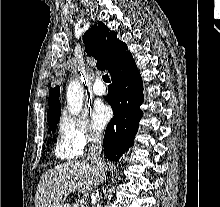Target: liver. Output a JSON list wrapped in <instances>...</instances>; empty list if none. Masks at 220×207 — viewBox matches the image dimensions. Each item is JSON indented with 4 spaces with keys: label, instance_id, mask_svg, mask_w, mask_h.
I'll return each instance as SVG.
<instances>
[{
    "label": "liver",
    "instance_id": "obj_1",
    "mask_svg": "<svg viewBox=\"0 0 220 207\" xmlns=\"http://www.w3.org/2000/svg\"><path fill=\"white\" fill-rule=\"evenodd\" d=\"M105 172L106 168L101 172L87 160L57 165L41 177L35 207H61L71 193L93 190L105 177Z\"/></svg>",
    "mask_w": 220,
    "mask_h": 207
}]
</instances>
